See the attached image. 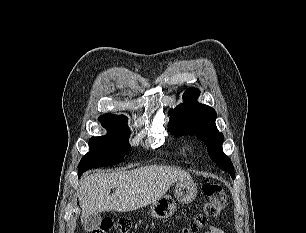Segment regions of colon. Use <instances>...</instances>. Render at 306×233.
I'll return each mask as SVG.
<instances>
[{
    "label": "colon",
    "mask_w": 306,
    "mask_h": 233,
    "mask_svg": "<svg viewBox=\"0 0 306 233\" xmlns=\"http://www.w3.org/2000/svg\"><path fill=\"white\" fill-rule=\"evenodd\" d=\"M202 192L206 197L200 214L184 228L180 233H197L209 221L220 216L226 206V194L219 183L206 181L202 184ZM131 228V222L126 219L113 221L106 219L101 226L92 233H128Z\"/></svg>",
    "instance_id": "colon-1"
}]
</instances>
